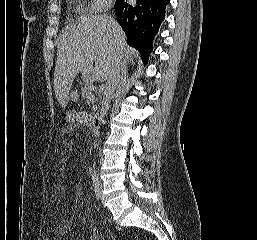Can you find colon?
<instances>
[{"mask_svg": "<svg viewBox=\"0 0 257 240\" xmlns=\"http://www.w3.org/2000/svg\"><path fill=\"white\" fill-rule=\"evenodd\" d=\"M78 97H79V95H78V92L77 91H72L71 93H70V100L72 101V102H77L78 101ZM44 240H49L48 238H45Z\"/></svg>", "mask_w": 257, "mask_h": 240, "instance_id": "5ec220e1", "label": "colon"}]
</instances>
